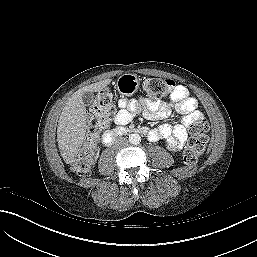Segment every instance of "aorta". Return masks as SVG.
Returning a JSON list of instances; mask_svg holds the SVG:
<instances>
[{
    "instance_id": "1",
    "label": "aorta",
    "mask_w": 257,
    "mask_h": 257,
    "mask_svg": "<svg viewBox=\"0 0 257 257\" xmlns=\"http://www.w3.org/2000/svg\"><path fill=\"white\" fill-rule=\"evenodd\" d=\"M140 141H141V137H140L139 134L133 133V134H130V135H129V142H130L131 144L137 145V144L140 143Z\"/></svg>"
}]
</instances>
